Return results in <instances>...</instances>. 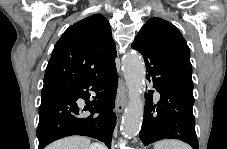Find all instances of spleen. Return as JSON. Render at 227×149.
Wrapping results in <instances>:
<instances>
[{"instance_id":"spleen-1","label":"spleen","mask_w":227,"mask_h":149,"mask_svg":"<svg viewBox=\"0 0 227 149\" xmlns=\"http://www.w3.org/2000/svg\"><path fill=\"white\" fill-rule=\"evenodd\" d=\"M154 149H190V147L178 140H162L154 145Z\"/></svg>"}]
</instances>
